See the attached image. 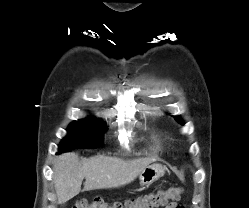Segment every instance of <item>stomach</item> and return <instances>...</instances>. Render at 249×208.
Segmentation results:
<instances>
[{
  "instance_id": "obj_1",
  "label": "stomach",
  "mask_w": 249,
  "mask_h": 208,
  "mask_svg": "<svg viewBox=\"0 0 249 208\" xmlns=\"http://www.w3.org/2000/svg\"><path fill=\"white\" fill-rule=\"evenodd\" d=\"M165 174V168L158 163L145 167L139 174L141 186H149Z\"/></svg>"
}]
</instances>
